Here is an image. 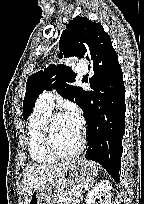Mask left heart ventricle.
<instances>
[{
  "label": "left heart ventricle",
  "instance_id": "obj_1",
  "mask_svg": "<svg viewBox=\"0 0 144 204\" xmlns=\"http://www.w3.org/2000/svg\"><path fill=\"white\" fill-rule=\"evenodd\" d=\"M53 133L55 144L61 152L68 153L76 148L80 133L74 130L64 116L55 120Z\"/></svg>",
  "mask_w": 144,
  "mask_h": 204
}]
</instances>
